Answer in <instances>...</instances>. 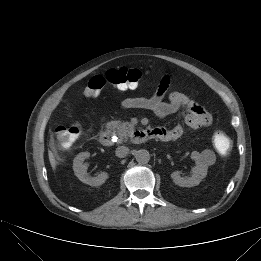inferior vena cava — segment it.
<instances>
[{
  "mask_svg": "<svg viewBox=\"0 0 261 261\" xmlns=\"http://www.w3.org/2000/svg\"><path fill=\"white\" fill-rule=\"evenodd\" d=\"M129 153V148L125 146H119L116 148L115 154L119 158L125 157Z\"/></svg>",
  "mask_w": 261,
  "mask_h": 261,
  "instance_id": "inferior-vena-cava-1",
  "label": "inferior vena cava"
}]
</instances>
